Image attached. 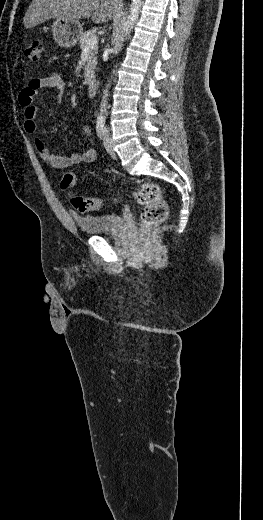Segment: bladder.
<instances>
[{"instance_id":"1","label":"bladder","mask_w":263,"mask_h":520,"mask_svg":"<svg viewBox=\"0 0 263 520\" xmlns=\"http://www.w3.org/2000/svg\"><path fill=\"white\" fill-rule=\"evenodd\" d=\"M79 230L87 234H108L121 231L125 222L119 214L73 216Z\"/></svg>"}]
</instances>
